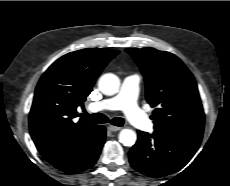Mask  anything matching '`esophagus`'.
Here are the masks:
<instances>
[{
    "label": "esophagus",
    "mask_w": 230,
    "mask_h": 186,
    "mask_svg": "<svg viewBox=\"0 0 230 186\" xmlns=\"http://www.w3.org/2000/svg\"><path fill=\"white\" fill-rule=\"evenodd\" d=\"M121 129H122V127H118V126H113V125L108 126V130L111 132H116V131H119Z\"/></svg>",
    "instance_id": "esophagus-1"
}]
</instances>
